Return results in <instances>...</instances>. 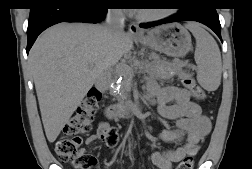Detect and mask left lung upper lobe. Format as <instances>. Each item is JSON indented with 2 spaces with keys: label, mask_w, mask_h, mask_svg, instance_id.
<instances>
[{
  "label": "left lung upper lobe",
  "mask_w": 252,
  "mask_h": 169,
  "mask_svg": "<svg viewBox=\"0 0 252 169\" xmlns=\"http://www.w3.org/2000/svg\"><path fill=\"white\" fill-rule=\"evenodd\" d=\"M208 4H214L213 0H183L180 4L181 8H179V11H187Z\"/></svg>",
  "instance_id": "5c2ea615"
}]
</instances>
